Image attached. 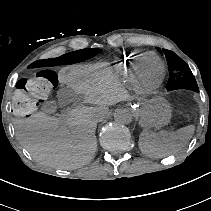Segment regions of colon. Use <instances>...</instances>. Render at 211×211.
Wrapping results in <instances>:
<instances>
[{"label": "colon", "instance_id": "5ec220e1", "mask_svg": "<svg viewBox=\"0 0 211 211\" xmlns=\"http://www.w3.org/2000/svg\"><path fill=\"white\" fill-rule=\"evenodd\" d=\"M58 84L56 72L39 70L28 79L19 80L12 98V111L16 118L32 116Z\"/></svg>", "mask_w": 211, "mask_h": 211}]
</instances>
